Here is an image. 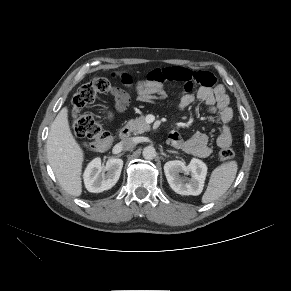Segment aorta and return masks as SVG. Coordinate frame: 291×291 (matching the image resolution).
<instances>
[{"label": "aorta", "instance_id": "aorta-1", "mask_svg": "<svg viewBox=\"0 0 291 291\" xmlns=\"http://www.w3.org/2000/svg\"><path fill=\"white\" fill-rule=\"evenodd\" d=\"M143 157L147 160H152L156 156V150L153 146H147L143 149Z\"/></svg>", "mask_w": 291, "mask_h": 291}]
</instances>
